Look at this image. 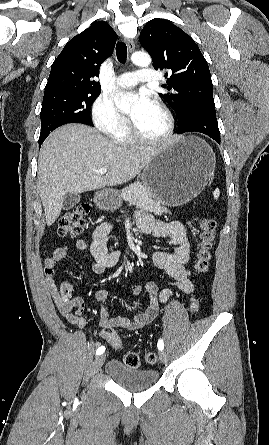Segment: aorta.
<instances>
[{"label":"aorta","mask_w":269,"mask_h":445,"mask_svg":"<svg viewBox=\"0 0 269 445\" xmlns=\"http://www.w3.org/2000/svg\"><path fill=\"white\" fill-rule=\"evenodd\" d=\"M131 61L137 66L147 67L151 64V57L144 52H135L131 56ZM136 100L137 98L134 95L118 92L115 97V104L120 111L127 112Z\"/></svg>","instance_id":"762f6f07"}]
</instances>
